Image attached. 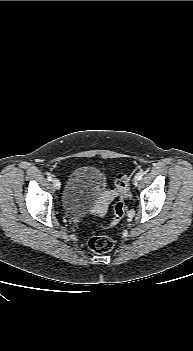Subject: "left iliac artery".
I'll return each mask as SVG.
<instances>
[{"label": "left iliac artery", "mask_w": 193, "mask_h": 351, "mask_svg": "<svg viewBox=\"0 0 193 351\" xmlns=\"http://www.w3.org/2000/svg\"><path fill=\"white\" fill-rule=\"evenodd\" d=\"M143 172H139L136 176H135V178L137 179V180H141L142 179V177H143Z\"/></svg>", "instance_id": "1"}]
</instances>
